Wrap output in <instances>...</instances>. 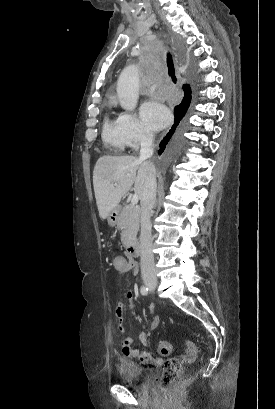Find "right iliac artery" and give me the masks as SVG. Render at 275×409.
Here are the masks:
<instances>
[{"label": "right iliac artery", "instance_id": "obj_1", "mask_svg": "<svg viewBox=\"0 0 275 409\" xmlns=\"http://www.w3.org/2000/svg\"><path fill=\"white\" fill-rule=\"evenodd\" d=\"M148 288L147 287H145V286H142L141 287V290H140V292H141V294L142 295H147L148 294Z\"/></svg>", "mask_w": 275, "mask_h": 409}]
</instances>
